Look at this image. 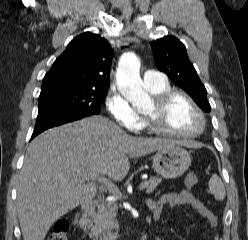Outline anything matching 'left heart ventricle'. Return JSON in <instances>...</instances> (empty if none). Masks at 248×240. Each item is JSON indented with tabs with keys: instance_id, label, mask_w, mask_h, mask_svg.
<instances>
[{
	"instance_id": "b2bd125f",
	"label": "left heart ventricle",
	"mask_w": 248,
	"mask_h": 240,
	"mask_svg": "<svg viewBox=\"0 0 248 240\" xmlns=\"http://www.w3.org/2000/svg\"><path fill=\"white\" fill-rule=\"evenodd\" d=\"M146 114L155 115L161 127L176 132L190 133L201 127L199 115L182 96L174 97L162 112H157L152 103Z\"/></svg>"
}]
</instances>
